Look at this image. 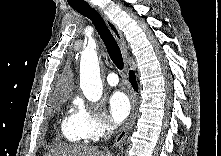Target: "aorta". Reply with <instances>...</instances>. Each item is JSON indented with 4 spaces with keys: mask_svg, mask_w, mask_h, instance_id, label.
<instances>
[{
    "mask_svg": "<svg viewBox=\"0 0 221 156\" xmlns=\"http://www.w3.org/2000/svg\"><path fill=\"white\" fill-rule=\"evenodd\" d=\"M95 49V42L90 41L81 54L80 64V87L84 96L91 102L99 101L103 93L98 57Z\"/></svg>",
    "mask_w": 221,
    "mask_h": 156,
    "instance_id": "aorta-1",
    "label": "aorta"
}]
</instances>
